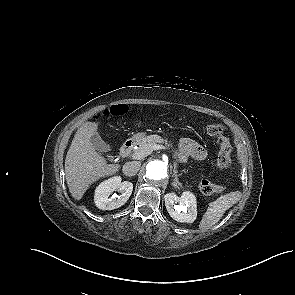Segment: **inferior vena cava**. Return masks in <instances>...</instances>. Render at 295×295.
I'll return each mask as SVG.
<instances>
[{"mask_svg": "<svg viewBox=\"0 0 295 295\" xmlns=\"http://www.w3.org/2000/svg\"><path fill=\"white\" fill-rule=\"evenodd\" d=\"M141 163L139 161H130L124 164L123 173L126 176H134L139 171Z\"/></svg>", "mask_w": 295, "mask_h": 295, "instance_id": "inferior-vena-cava-1", "label": "inferior vena cava"}]
</instances>
